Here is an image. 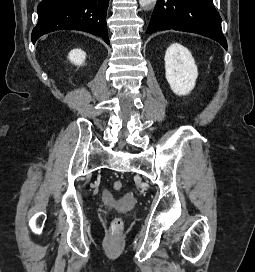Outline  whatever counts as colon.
<instances>
[{"label":"colon","instance_id":"obj_1","mask_svg":"<svg viewBox=\"0 0 255 272\" xmlns=\"http://www.w3.org/2000/svg\"><path fill=\"white\" fill-rule=\"evenodd\" d=\"M123 187V183L120 180H116L113 182V188L114 190H121ZM122 220L119 217H115L111 222V227L113 230H119L122 227Z\"/></svg>","mask_w":255,"mask_h":272}]
</instances>
